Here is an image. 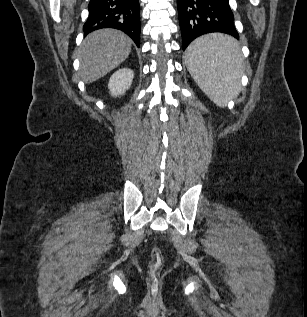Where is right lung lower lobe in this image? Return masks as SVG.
<instances>
[{
    "label": "right lung lower lobe",
    "mask_w": 307,
    "mask_h": 317,
    "mask_svg": "<svg viewBox=\"0 0 307 317\" xmlns=\"http://www.w3.org/2000/svg\"><path fill=\"white\" fill-rule=\"evenodd\" d=\"M88 10L83 26L85 35L101 28H115L140 46L139 0H90Z\"/></svg>",
    "instance_id": "obj_1"
}]
</instances>
